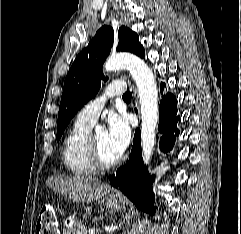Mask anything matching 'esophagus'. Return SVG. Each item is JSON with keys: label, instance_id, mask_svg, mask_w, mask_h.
<instances>
[{"label": "esophagus", "instance_id": "obj_1", "mask_svg": "<svg viewBox=\"0 0 241 234\" xmlns=\"http://www.w3.org/2000/svg\"><path fill=\"white\" fill-rule=\"evenodd\" d=\"M131 87H132V91H133V97H134V106L136 108L139 107V102H138V92H137V88L136 86L134 85V83L131 84Z\"/></svg>", "mask_w": 241, "mask_h": 234}]
</instances>
